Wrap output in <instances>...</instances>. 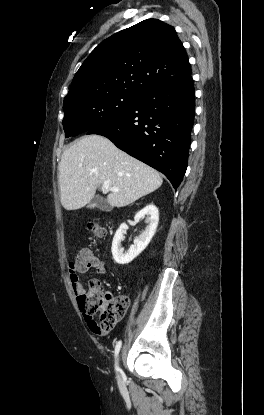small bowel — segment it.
Here are the masks:
<instances>
[{"label": "small bowel", "mask_w": 264, "mask_h": 415, "mask_svg": "<svg viewBox=\"0 0 264 415\" xmlns=\"http://www.w3.org/2000/svg\"><path fill=\"white\" fill-rule=\"evenodd\" d=\"M95 269H96L97 273H99V274L104 273L105 272L104 263L102 261L98 260L96 262ZM85 271H86L85 268L78 269L76 271V273H72L70 271V280H71L72 288L78 296H80L82 291H83V285H82L81 280H80V274L85 272ZM92 330H93L94 333H96L98 335H101V336H104V335L107 334V331L105 329H99V330L92 329Z\"/></svg>", "instance_id": "obj_1"}]
</instances>
